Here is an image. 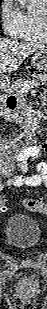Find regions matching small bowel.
<instances>
[{"label": "small bowel", "instance_id": "1", "mask_svg": "<svg viewBox=\"0 0 47 309\" xmlns=\"http://www.w3.org/2000/svg\"><path fill=\"white\" fill-rule=\"evenodd\" d=\"M17 137L12 136L2 142V156L0 173L3 181L0 189L9 187H37L47 182V164L37 163L32 168V162L39 157L46 149L45 144L26 146L13 151ZM17 170L15 174L14 171Z\"/></svg>", "mask_w": 47, "mask_h": 309}]
</instances>
